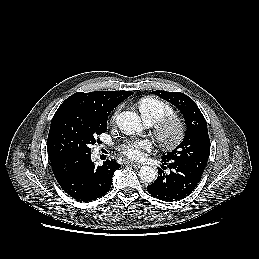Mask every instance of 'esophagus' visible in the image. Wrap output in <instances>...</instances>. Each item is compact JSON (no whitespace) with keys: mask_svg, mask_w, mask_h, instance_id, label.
<instances>
[{"mask_svg":"<svg viewBox=\"0 0 259 259\" xmlns=\"http://www.w3.org/2000/svg\"><path fill=\"white\" fill-rule=\"evenodd\" d=\"M125 163L131 165V166L134 167V168H140V167H141L140 164L134 163V162H131V161H126Z\"/></svg>","mask_w":259,"mask_h":259,"instance_id":"obj_1","label":"esophagus"}]
</instances>
